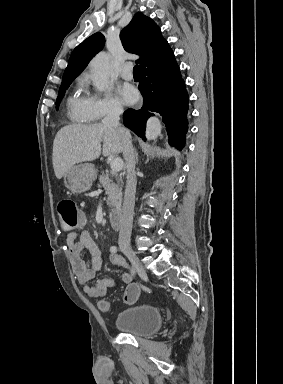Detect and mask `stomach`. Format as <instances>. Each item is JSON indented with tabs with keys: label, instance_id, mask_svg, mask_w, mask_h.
<instances>
[{
	"label": "stomach",
	"instance_id": "stomach-1",
	"mask_svg": "<svg viewBox=\"0 0 283 384\" xmlns=\"http://www.w3.org/2000/svg\"><path fill=\"white\" fill-rule=\"evenodd\" d=\"M95 178L96 170L93 164H78L64 174V184L73 194H82L90 190Z\"/></svg>",
	"mask_w": 283,
	"mask_h": 384
}]
</instances>
